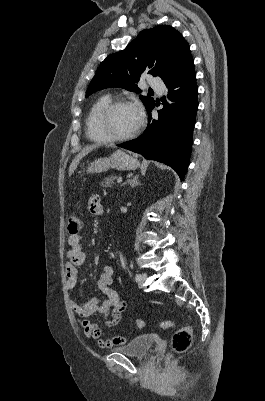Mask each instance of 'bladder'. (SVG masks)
Here are the masks:
<instances>
[{
  "instance_id": "31cf9c89",
  "label": "bladder",
  "mask_w": 265,
  "mask_h": 401,
  "mask_svg": "<svg viewBox=\"0 0 265 401\" xmlns=\"http://www.w3.org/2000/svg\"><path fill=\"white\" fill-rule=\"evenodd\" d=\"M155 341L149 336H136L128 342L126 345L121 347L111 348L112 351H121L125 355L135 357H146L149 349L154 346Z\"/></svg>"
}]
</instances>
